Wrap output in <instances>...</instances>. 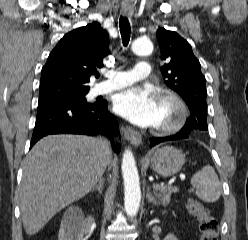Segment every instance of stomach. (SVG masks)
<instances>
[{
    "label": "stomach",
    "mask_w": 248,
    "mask_h": 240,
    "mask_svg": "<svg viewBox=\"0 0 248 240\" xmlns=\"http://www.w3.org/2000/svg\"><path fill=\"white\" fill-rule=\"evenodd\" d=\"M184 161L182 151L172 146L159 148L148 157L151 169L164 177L174 175L180 171Z\"/></svg>",
    "instance_id": "0dacf381"
}]
</instances>
